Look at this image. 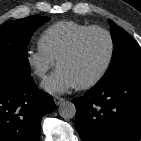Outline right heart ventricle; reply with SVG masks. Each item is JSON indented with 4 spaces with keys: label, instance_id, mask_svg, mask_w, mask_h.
I'll return each mask as SVG.
<instances>
[{
    "label": "right heart ventricle",
    "instance_id": "right-heart-ventricle-1",
    "mask_svg": "<svg viewBox=\"0 0 141 141\" xmlns=\"http://www.w3.org/2000/svg\"><path fill=\"white\" fill-rule=\"evenodd\" d=\"M89 27L91 25L70 20L57 22L43 31L39 38V45L50 57L57 60L75 37Z\"/></svg>",
    "mask_w": 141,
    "mask_h": 141
}]
</instances>
